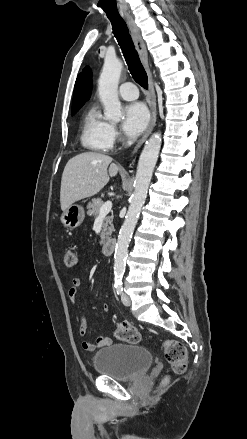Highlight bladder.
<instances>
[{
  "label": "bladder",
  "mask_w": 247,
  "mask_h": 439,
  "mask_svg": "<svg viewBox=\"0 0 247 439\" xmlns=\"http://www.w3.org/2000/svg\"><path fill=\"white\" fill-rule=\"evenodd\" d=\"M153 356L137 345L111 344L99 350L93 365L97 373L119 381H133L152 365Z\"/></svg>",
  "instance_id": "bladder-1"
}]
</instances>
